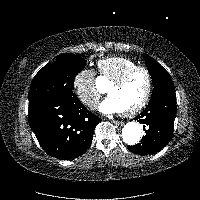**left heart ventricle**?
<instances>
[{
    "label": "left heart ventricle",
    "mask_w": 200,
    "mask_h": 200,
    "mask_svg": "<svg viewBox=\"0 0 200 200\" xmlns=\"http://www.w3.org/2000/svg\"><path fill=\"white\" fill-rule=\"evenodd\" d=\"M147 89V77L143 72L132 76L122 87L111 89L112 96L122 111L128 110L137 105L145 95Z\"/></svg>",
    "instance_id": "obj_1"
}]
</instances>
